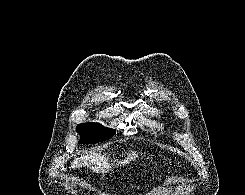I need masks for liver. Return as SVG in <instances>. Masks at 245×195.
Segmentation results:
<instances>
[{
  "instance_id": "liver-1",
  "label": "liver",
  "mask_w": 245,
  "mask_h": 195,
  "mask_svg": "<svg viewBox=\"0 0 245 195\" xmlns=\"http://www.w3.org/2000/svg\"><path fill=\"white\" fill-rule=\"evenodd\" d=\"M125 154L127 156L124 159L117 160L114 158V161L111 160L110 162L109 156L106 153L105 154L96 153V152L89 153V154L81 156L80 158H75L71 162L70 169L71 168L76 169V168L87 166L93 172L105 173V172L112 170L114 167L128 164L130 161H134L138 157L137 152L132 151V150L129 152H126Z\"/></svg>"
}]
</instances>
